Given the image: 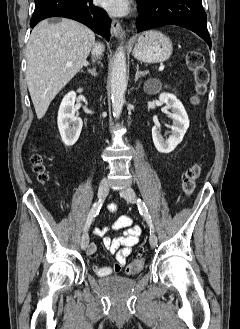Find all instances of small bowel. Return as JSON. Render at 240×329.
Instances as JSON below:
<instances>
[{"instance_id":"obj_1","label":"small bowel","mask_w":240,"mask_h":329,"mask_svg":"<svg viewBox=\"0 0 240 329\" xmlns=\"http://www.w3.org/2000/svg\"><path fill=\"white\" fill-rule=\"evenodd\" d=\"M111 212L116 211V206H109ZM119 231L121 234L116 237H109L106 234L110 231ZM95 234L102 239L103 246L112 254L115 261L110 266H95L94 270L99 277H106L111 274H117L124 268L127 257L132 253L133 247L138 243L141 234L140 226L133 223L128 215L118 217L110 227L97 229ZM96 251V245L90 243L87 246L86 253L93 255Z\"/></svg>"}]
</instances>
